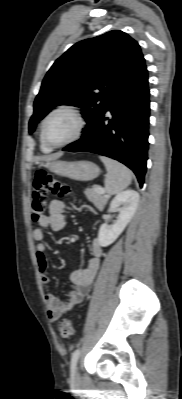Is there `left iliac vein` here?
I'll return each instance as SVG.
<instances>
[{"mask_svg":"<svg viewBox=\"0 0 182 399\" xmlns=\"http://www.w3.org/2000/svg\"><path fill=\"white\" fill-rule=\"evenodd\" d=\"M75 379H76V380H79V379H80V375H79L77 369H76V371H75Z\"/></svg>","mask_w":182,"mask_h":399,"instance_id":"4c4485c4","label":"left iliac vein"}]
</instances>
